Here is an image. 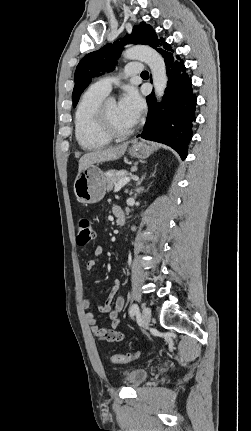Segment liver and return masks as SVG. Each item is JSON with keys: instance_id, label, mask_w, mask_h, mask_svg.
Segmentation results:
<instances>
[{"instance_id": "6515ba94", "label": "liver", "mask_w": 251, "mask_h": 431, "mask_svg": "<svg viewBox=\"0 0 251 431\" xmlns=\"http://www.w3.org/2000/svg\"><path fill=\"white\" fill-rule=\"evenodd\" d=\"M128 144V142H125L115 147L101 148L84 154L79 160V173H81L90 164L119 159L126 152Z\"/></svg>"}]
</instances>
